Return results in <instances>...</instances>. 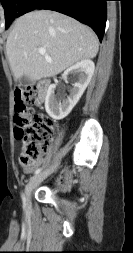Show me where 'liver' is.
<instances>
[{
  "mask_svg": "<svg viewBox=\"0 0 133 253\" xmlns=\"http://www.w3.org/2000/svg\"><path fill=\"white\" fill-rule=\"evenodd\" d=\"M44 48L52 62L38 52ZM99 49L95 33L77 20L54 11H34L18 18L6 42L14 78L32 81L53 77L70 66L94 58Z\"/></svg>",
  "mask_w": 133,
  "mask_h": 253,
  "instance_id": "1",
  "label": "liver"
}]
</instances>
